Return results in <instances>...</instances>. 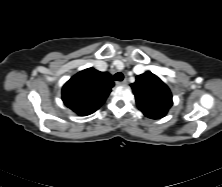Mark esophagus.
<instances>
[{"instance_id":"esophagus-1","label":"esophagus","mask_w":222,"mask_h":187,"mask_svg":"<svg viewBox=\"0 0 222 187\" xmlns=\"http://www.w3.org/2000/svg\"><path fill=\"white\" fill-rule=\"evenodd\" d=\"M118 85H125L127 84V80L124 79L123 81L117 82Z\"/></svg>"}]
</instances>
